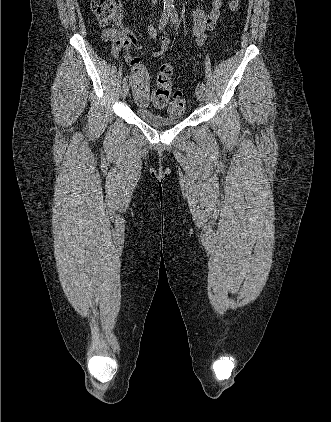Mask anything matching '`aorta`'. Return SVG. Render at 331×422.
<instances>
[{
  "mask_svg": "<svg viewBox=\"0 0 331 422\" xmlns=\"http://www.w3.org/2000/svg\"><path fill=\"white\" fill-rule=\"evenodd\" d=\"M164 10L167 12L174 11V0H164Z\"/></svg>",
  "mask_w": 331,
  "mask_h": 422,
  "instance_id": "obj_1",
  "label": "aorta"
}]
</instances>
